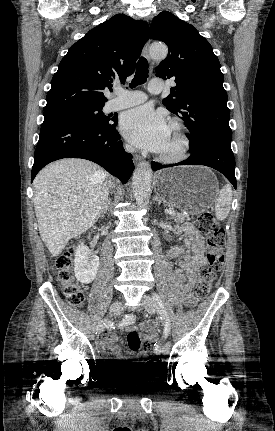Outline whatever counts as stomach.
<instances>
[{"mask_svg": "<svg viewBox=\"0 0 275 431\" xmlns=\"http://www.w3.org/2000/svg\"><path fill=\"white\" fill-rule=\"evenodd\" d=\"M155 190L166 204L189 214H198L216 201L219 183L206 167H176L158 172Z\"/></svg>", "mask_w": 275, "mask_h": 431, "instance_id": "0dacf381", "label": "stomach"}]
</instances>
